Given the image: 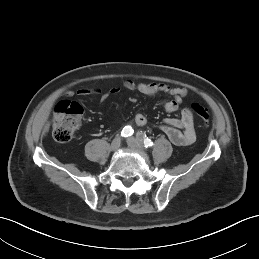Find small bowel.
Listing matches in <instances>:
<instances>
[{"label": "small bowel", "instance_id": "small-bowel-1", "mask_svg": "<svg viewBox=\"0 0 259 259\" xmlns=\"http://www.w3.org/2000/svg\"><path fill=\"white\" fill-rule=\"evenodd\" d=\"M122 90L129 92H139L147 96H156L159 94H167L170 100L162 103V108L167 113H173L178 110L179 105L188 95V89L185 87H174L164 83H144L135 82L126 79L121 87H114L108 92H103L98 88H80L76 92L72 90L65 91L66 96L74 94L79 97H86L97 94L105 101L109 96L116 95ZM135 123L139 126L146 124V118L142 113H136L134 117ZM160 129L167 135L169 140L176 146H189L196 140V130L194 124V115L190 108H183L179 117H170L165 119Z\"/></svg>", "mask_w": 259, "mask_h": 259}]
</instances>
